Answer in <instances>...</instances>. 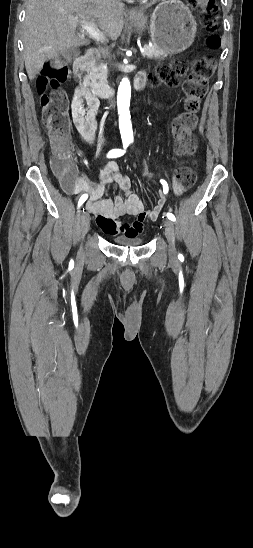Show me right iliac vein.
Returning <instances> with one entry per match:
<instances>
[{"label": "right iliac vein", "mask_w": 253, "mask_h": 548, "mask_svg": "<svg viewBox=\"0 0 253 548\" xmlns=\"http://www.w3.org/2000/svg\"><path fill=\"white\" fill-rule=\"evenodd\" d=\"M89 227H90V217H89V215L86 212L85 213L81 212V214H80V232L82 234V237H84V235L88 232ZM79 255H80V257L83 256L82 250H80Z\"/></svg>", "instance_id": "obj_1"}]
</instances>
